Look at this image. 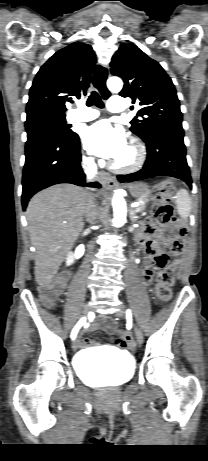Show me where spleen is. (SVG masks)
Returning <instances> with one entry per match:
<instances>
[{"mask_svg":"<svg viewBox=\"0 0 208 461\" xmlns=\"http://www.w3.org/2000/svg\"><path fill=\"white\" fill-rule=\"evenodd\" d=\"M175 204L180 217L183 219L188 218L191 211V199L186 190L181 189L176 193Z\"/></svg>","mask_w":208,"mask_h":461,"instance_id":"obj_1","label":"spleen"}]
</instances>
